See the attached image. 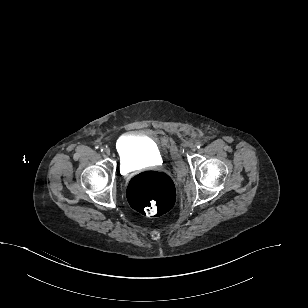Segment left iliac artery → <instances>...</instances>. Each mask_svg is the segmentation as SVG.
<instances>
[{
  "mask_svg": "<svg viewBox=\"0 0 308 308\" xmlns=\"http://www.w3.org/2000/svg\"><path fill=\"white\" fill-rule=\"evenodd\" d=\"M202 145H203V144H202L201 142H197V143H196L197 148H200Z\"/></svg>",
  "mask_w": 308,
  "mask_h": 308,
  "instance_id": "44dca946",
  "label": "left iliac artery"
}]
</instances>
